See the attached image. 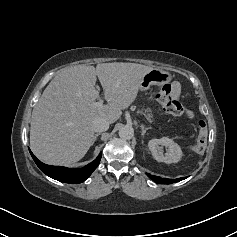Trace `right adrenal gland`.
Returning a JSON list of instances; mask_svg holds the SVG:
<instances>
[{"mask_svg": "<svg viewBox=\"0 0 237 237\" xmlns=\"http://www.w3.org/2000/svg\"><path fill=\"white\" fill-rule=\"evenodd\" d=\"M99 135H100V133L95 134L94 139H93V142H92V145L95 143V141H96V139H97V137H98Z\"/></svg>", "mask_w": 237, "mask_h": 237, "instance_id": "right-adrenal-gland-1", "label": "right adrenal gland"}]
</instances>
